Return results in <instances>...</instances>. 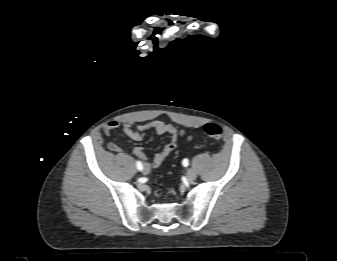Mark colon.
Instances as JSON below:
<instances>
[{
    "label": "colon",
    "instance_id": "1",
    "mask_svg": "<svg viewBox=\"0 0 337 261\" xmlns=\"http://www.w3.org/2000/svg\"><path fill=\"white\" fill-rule=\"evenodd\" d=\"M203 129L206 135L213 140H220L222 137V129L215 123H207L204 125ZM155 196L156 198H160L161 192L159 190L155 191Z\"/></svg>",
    "mask_w": 337,
    "mask_h": 261
}]
</instances>
